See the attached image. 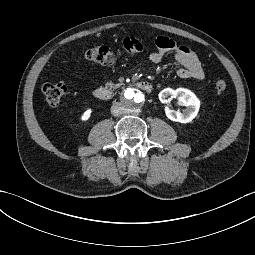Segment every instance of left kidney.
Listing matches in <instances>:
<instances>
[{
    "label": "left kidney",
    "instance_id": "obj_1",
    "mask_svg": "<svg viewBox=\"0 0 255 255\" xmlns=\"http://www.w3.org/2000/svg\"><path fill=\"white\" fill-rule=\"evenodd\" d=\"M173 98H177L186 109L180 111L171 110L168 106L165 107L166 116L176 122L188 123L191 122L197 115L200 108V101L196 95L188 89L165 88L159 93V100L162 103H169Z\"/></svg>",
    "mask_w": 255,
    "mask_h": 255
}]
</instances>
